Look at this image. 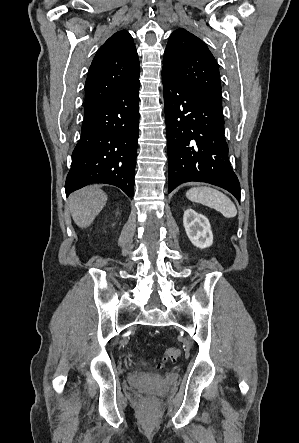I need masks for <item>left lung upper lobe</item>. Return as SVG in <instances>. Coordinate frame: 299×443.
I'll list each match as a JSON object with an SVG mask.
<instances>
[{
    "label": "left lung upper lobe",
    "instance_id": "left-lung-upper-lobe-1",
    "mask_svg": "<svg viewBox=\"0 0 299 443\" xmlns=\"http://www.w3.org/2000/svg\"><path fill=\"white\" fill-rule=\"evenodd\" d=\"M162 71L222 107L217 62L203 41L187 30L179 28L169 37Z\"/></svg>",
    "mask_w": 299,
    "mask_h": 443
}]
</instances>
